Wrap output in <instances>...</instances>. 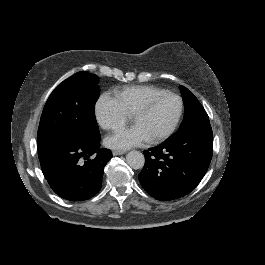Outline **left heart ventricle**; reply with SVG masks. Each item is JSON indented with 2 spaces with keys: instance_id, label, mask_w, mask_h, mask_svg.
Masks as SVG:
<instances>
[{
  "instance_id": "1",
  "label": "left heart ventricle",
  "mask_w": 265,
  "mask_h": 265,
  "mask_svg": "<svg viewBox=\"0 0 265 265\" xmlns=\"http://www.w3.org/2000/svg\"><path fill=\"white\" fill-rule=\"evenodd\" d=\"M178 106V101L174 97L159 96L146 111L133 115L132 120L136 125L142 126L148 136L152 138L173 122Z\"/></svg>"
}]
</instances>
